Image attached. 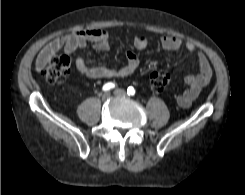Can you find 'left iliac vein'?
<instances>
[{
	"label": "left iliac vein",
	"mask_w": 245,
	"mask_h": 195,
	"mask_svg": "<svg viewBox=\"0 0 245 195\" xmlns=\"http://www.w3.org/2000/svg\"><path fill=\"white\" fill-rule=\"evenodd\" d=\"M114 94H115L116 96L122 97V96H125V95H126V92H125L124 90H122V89H116V90L114 91Z\"/></svg>",
	"instance_id": "obj_1"
}]
</instances>
